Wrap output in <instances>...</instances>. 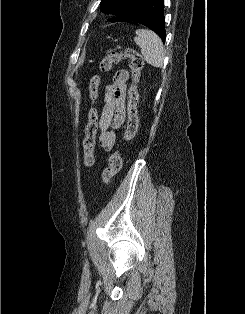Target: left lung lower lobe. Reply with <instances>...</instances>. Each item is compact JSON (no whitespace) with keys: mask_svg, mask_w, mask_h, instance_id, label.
Masks as SVG:
<instances>
[{"mask_svg":"<svg viewBox=\"0 0 245 314\" xmlns=\"http://www.w3.org/2000/svg\"><path fill=\"white\" fill-rule=\"evenodd\" d=\"M164 0H145L140 10L130 19L156 32L165 41Z\"/></svg>","mask_w":245,"mask_h":314,"instance_id":"1","label":"left lung lower lobe"}]
</instances>
